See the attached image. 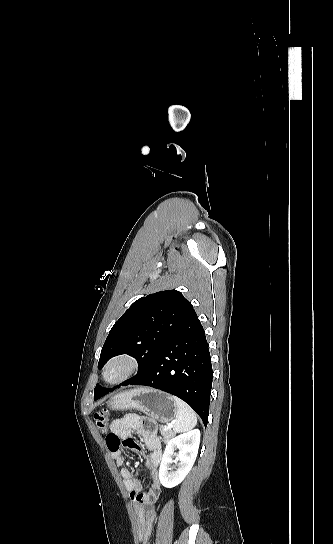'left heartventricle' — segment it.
Listing matches in <instances>:
<instances>
[{
  "mask_svg": "<svg viewBox=\"0 0 333 544\" xmlns=\"http://www.w3.org/2000/svg\"><path fill=\"white\" fill-rule=\"evenodd\" d=\"M120 373H121V368L120 367H115V368H113V369H111L109 371L108 376H109L110 379H114V378L118 377L120 375Z\"/></svg>",
  "mask_w": 333,
  "mask_h": 544,
  "instance_id": "obj_1",
  "label": "left heart ventricle"
}]
</instances>
